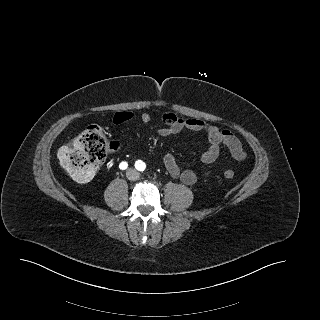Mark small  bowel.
<instances>
[{"label":"small bowel","mask_w":320,"mask_h":320,"mask_svg":"<svg viewBox=\"0 0 320 320\" xmlns=\"http://www.w3.org/2000/svg\"><path fill=\"white\" fill-rule=\"evenodd\" d=\"M133 118L132 112L120 111L113 116V122L116 125H121ZM140 120L146 124L150 122L151 117L149 114L143 113ZM162 121L164 126L157 130L159 137H168L184 130L206 133L209 144L201 156V160L205 164H212L217 160L222 146L228 149L234 159L242 160L245 158L246 152L241 141L227 129H220L197 118H181L171 112L163 113ZM162 161L169 174L180 179L186 185H193L200 177L206 178L218 171V169H212L199 175L194 169H181L175 156L170 153L165 154Z\"/></svg>","instance_id":"1"}]
</instances>
